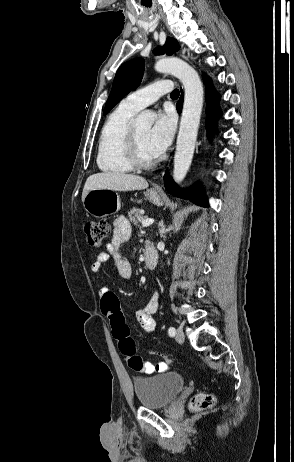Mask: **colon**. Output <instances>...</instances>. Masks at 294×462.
<instances>
[{"label": "colon", "mask_w": 294, "mask_h": 462, "mask_svg": "<svg viewBox=\"0 0 294 462\" xmlns=\"http://www.w3.org/2000/svg\"><path fill=\"white\" fill-rule=\"evenodd\" d=\"M83 230L88 244L92 247H100L110 234V227L105 221L87 220L83 224ZM101 309L103 314L110 320L113 335L119 341L121 352L125 356L128 365L132 369H140L142 358L136 355L135 342L130 336L129 327L126 324L115 293L109 291L101 297ZM214 404L215 397L211 394H198L190 402L191 408L196 411L209 409Z\"/></svg>", "instance_id": "5ec220e1"}]
</instances>
